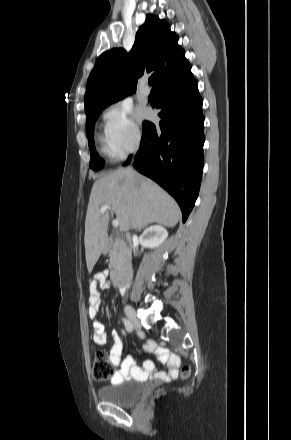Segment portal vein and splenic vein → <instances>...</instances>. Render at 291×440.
Masks as SVG:
<instances>
[{
	"label": "portal vein and splenic vein",
	"mask_w": 291,
	"mask_h": 440,
	"mask_svg": "<svg viewBox=\"0 0 291 440\" xmlns=\"http://www.w3.org/2000/svg\"><path fill=\"white\" fill-rule=\"evenodd\" d=\"M107 210H110V211H111V207L105 205V206H102V207L100 208L101 213H104V212H106ZM112 225H113L114 227H118V226H119V221H118L117 219L113 220Z\"/></svg>",
	"instance_id": "portal-vein-and-splenic-vein-1"
}]
</instances>
